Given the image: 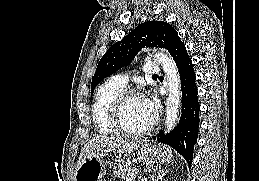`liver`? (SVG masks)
Returning <instances> with one entry per match:
<instances>
[{
  "label": "liver",
  "mask_w": 259,
  "mask_h": 181,
  "mask_svg": "<svg viewBox=\"0 0 259 181\" xmlns=\"http://www.w3.org/2000/svg\"><path fill=\"white\" fill-rule=\"evenodd\" d=\"M139 147V142H129L115 136L100 135L92 138L81 150L79 162L86 155L94 153L130 154ZM78 162V164H79Z\"/></svg>",
  "instance_id": "liver-1"
}]
</instances>
